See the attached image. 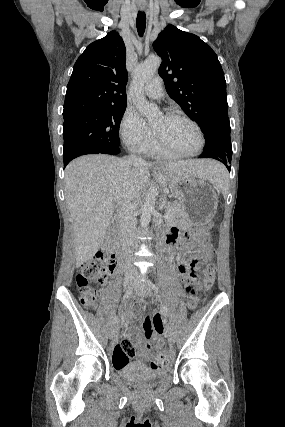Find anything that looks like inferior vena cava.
Returning <instances> with one entry per match:
<instances>
[{
	"label": "inferior vena cava",
	"instance_id": "1",
	"mask_svg": "<svg viewBox=\"0 0 285 427\" xmlns=\"http://www.w3.org/2000/svg\"><path fill=\"white\" fill-rule=\"evenodd\" d=\"M129 164H144L145 161L138 156L130 155L127 158ZM136 205L132 201H124L120 204L118 210V222L122 237V246L127 255H130L135 248V226L136 217L134 214ZM127 272L130 274L136 273V269L131 261L127 263Z\"/></svg>",
	"mask_w": 285,
	"mask_h": 427
}]
</instances>
